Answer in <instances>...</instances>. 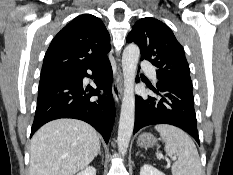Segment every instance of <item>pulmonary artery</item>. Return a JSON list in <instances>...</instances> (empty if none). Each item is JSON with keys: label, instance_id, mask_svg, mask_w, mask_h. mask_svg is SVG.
<instances>
[{"label": "pulmonary artery", "instance_id": "pulmonary-artery-1", "mask_svg": "<svg viewBox=\"0 0 233 175\" xmlns=\"http://www.w3.org/2000/svg\"><path fill=\"white\" fill-rule=\"evenodd\" d=\"M141 67L147 72V74L153 81L157 80L156 71L149 62L143 61L141 63Z\"/></svg>", "mask_w": 233, "mask_h": 175}]
</instances>
